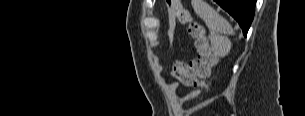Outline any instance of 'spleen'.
<instances>
[{
	"instance_id": "spleen-1",
	"label": "spleen",
	"mask_w": 305,
	"mask_h": 116,
	"mask_svg": "<svg viewBox=\"0 0 305 116\" xmlns=\"http://www.w3.org/2000/svg\"><path fill=\"white\" fill-rule=\"evenodd\" d=\"M192 5L194 8L195 13L203 19L206 26L210 29L213 33L219 34H226V35H233L234 31L231 27L230 23L219 15L210 5L206 2L199 0V1H192ZM217 45L223 44L225 49L224 51H228L227 49L230 48V42L227 38L220 36L218 40L215 42Z\"/></svg>"
}]
</instances>
